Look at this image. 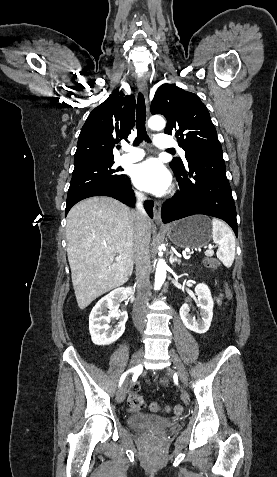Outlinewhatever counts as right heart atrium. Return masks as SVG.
<instances>
[{
  "label": "right heart atrium",
  "mask_w": 277,
  "mask_h": 477,
  "mask_svg": "<svg viewBox=\"0 0 277 477\" xmlns=\"http://www.w3.org/2000/svg\"><path fill=\"white\" fill-rule=\"evenodd\" d=\"M135 194H136L137 198H139V199L143 198L142 193H140L139 191H136Z\"/></svg>",
  "instance_id": "obj_1"
}]
</instances>
